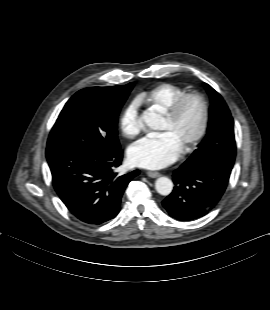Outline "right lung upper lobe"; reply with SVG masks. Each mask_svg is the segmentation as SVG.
<instances>
[{"mask_svg": "<svg viewBox=\"0 0 270 310\" xmlns=\"http://www.w3.org/2000/svg\"><path fill=\"white\" fill-rule=\"evenodd\" d=\"M114 88H118V89H121V88H125L126 87V85L125 86H113Z\"/></svg>", "mask_w": 270, "mask_h": 310, "instance_id": "obj_1", "label": "right lung upper lobe"}]
</instances>
